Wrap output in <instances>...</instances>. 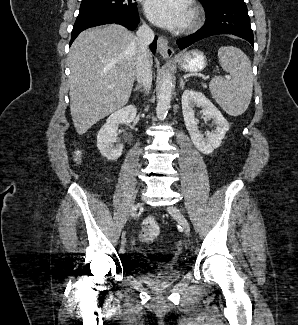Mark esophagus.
<instances>
[{"instance_id":"1","label":"esophagus","mask_w":298,"mask_h":325,"mask_svg":"<svg viewBox=\"0 0 298 325\" xmlns=\"http://www.w3.org/2000/svg\"><path fill=\"white\" fill-rule=\"evenodd\" d=\"M157 50L164 58H170L174 53L173 48L169 46L168 40L163 36L158 37Z\"/></svg>"}]
</instances>
